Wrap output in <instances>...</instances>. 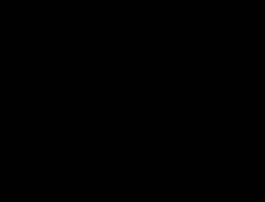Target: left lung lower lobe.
<instances>
[{"label":"left lung lower lobe","mask_w":265,"mask_h":202,"mask_svg":"<svg viewBox=\"0 0 265 202\" xmlns=\"http://www.w3.org/2000/svg\"><path fill=\"white\" fill-rule=\"evenodd\" d=\"M152 95L156 97L166 111L156 117L155 126L166 145L175 152L198 153L200 146L211 142L217 134V125L197 131L195 129V117L198 114L199 104L189 105L183 103L182 92L179 87L165 84H157L152 88Z\"/></svg>","instance_id":"obj_1"}]
</instances>
